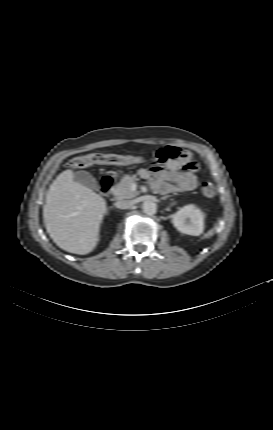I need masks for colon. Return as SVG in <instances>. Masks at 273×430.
I'll return each mask as SVG.
<instances>
[{"label": "colon", "mask_w": 273, "mask_h": 430, "mask_svg": "<svg viewBox=\"0 0 273 430\" xmlns=\"http://www.w3.org/2000/svg\"><path fill=\"white\" fill-rule=\"evenodd\" d=\"M179 150V149H178ZM162 157L161 159H164ZM145 160L144 156L120 155V154H103L95 153L73 158L69 166L73 169L86 168L93 165H126L139 163ZM202 193L212 198L216 194V188L211 182H204L201 186Z\"/></svg>", "instance_id": "5ec220e1"}]
</instances>
